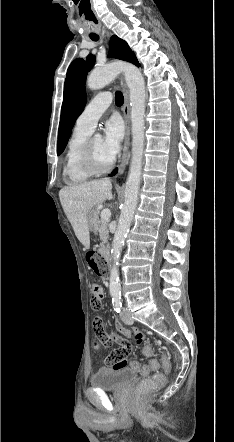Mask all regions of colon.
Instances as JSON below:
<instances>
[{"instance_id":"colon-1","label":"colon","mask_w":234,"mask_h":442,"mask_svg":"<svg viewBox=\"0 0 234 442\" xmlns=\"http://www.w3.org/2000/svg\"><path fill=\"white\" fill-rule=\"evenodd\" d=\"M87 262L90 268L99 276H107L108 274V264L103 260V258L95 253L94 251H89L86 255ZM103 301V292L100 288V285L94 283L91 286V307L94 310H98L102 307ZM97 319V318H96ZM101 322V319H100ZM102 323V322H101ZM102 344V343H100ZM129 353V349L125 347H120L116 351L111 354V359L109 364H111L115 368H121L127 366V368L132 373H140L144 376L149 375L151 372H155L159 369V362L153 358L154 350L149 344H145L142 347L141 353L142 355L149 358L147 363H143L142 361H138L136 359L130 360L126 357ZM169 360L164 358V366L166 371L169 369ZM166 385L165 374L159 373L150 377L146 380H139L138 382V391L141 393L149 392L153 389H164Z\"/></svg>"}]
</instances>
